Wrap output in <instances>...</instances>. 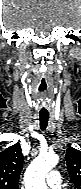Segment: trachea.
Listing matches in <instances>:
<instances>
[{
    "label": "trachea",
    "instance_id": "3493384b",
    "mask_svg": "<svg viewBox=\"0 0 81 189\" xmlns=\"http://www.w3.org/2000/svg\"><path fill=\"white\" fill-rule=\"evenodd\" d=\"M40 128L42 131H44L48 125V120H49V113L48 112H40Z\"/></svg>",
    "mask_w": 81,
    "mask_h": 189
}]
</instances>
